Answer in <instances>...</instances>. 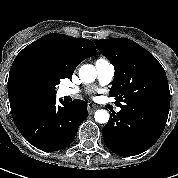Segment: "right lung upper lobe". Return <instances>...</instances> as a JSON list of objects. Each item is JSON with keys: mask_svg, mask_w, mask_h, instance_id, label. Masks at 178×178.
<instances>
[{"mask_svg": "<svg viewBox=\"0 0 178 178\" xmlns=\"http://www.w3.org/2000/svg\"><path fill=\"white\" fill-rule=\"evenodd\" d=\"M91 40L52 33L26 46L15 58L8 78L10 106L25 98L20 88V73L28 65L43 67L64 78H71L77 65L96 55Z\"/></svg>", "mask_w": 178, "mask_h": 178, "instance_id": "cb5924a9", "label": "right lung upper lobe"}]
</instances>
